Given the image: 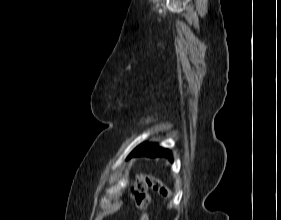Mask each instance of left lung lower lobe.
Returning a JSON list of instances; mask_svg holds the SVG:
<instances>
[{"instance_id":"1","label":"left lung lower lobe","mask_w":281,"mask_h":220,"mask_svg":"<svg viewBox=\"0 0 281 220\" xmlns=\"http://www.w3.org/2000/svg\"><path fill=\"white\" fill-rule=\"evenodd\" d=\"M147 156V157H167L172 159L171 152L168 149L159 147L157 144H143L136 148L129 156Z\"/></svg>"}]
</instances>
